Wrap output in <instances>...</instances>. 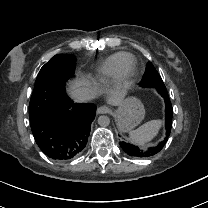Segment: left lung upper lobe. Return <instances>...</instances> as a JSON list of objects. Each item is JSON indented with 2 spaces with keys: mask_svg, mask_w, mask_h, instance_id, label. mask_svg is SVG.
<instances>
[{
  "mask_svg": "<svg viewBox=\"0 0 208 208\" xmlns=\"http://www.w3.org/2000/svg\"><path fill=\"white\" fill-rule=\"evenodd\" d=\"M140 85L142 87H154L158 91L159 94L162 96H168L166 87L162 81V78L156 71L155 67L152 63H149L147 66L146 74L143 77V80L141 81Z\"/></svg>",
  "mask_w": 208,
  "mask_h": 208,
  "instance_id": "5c2ea615",
  "label": "left lung upper lobe"
}]
</instances>
